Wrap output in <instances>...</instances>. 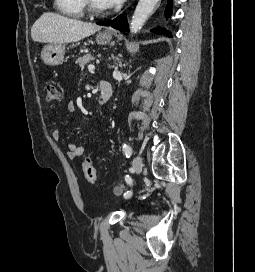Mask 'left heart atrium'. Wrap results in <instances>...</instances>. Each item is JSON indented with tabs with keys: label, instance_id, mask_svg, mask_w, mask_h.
<instances>
[{
	"label": "left heart atrium",
	"instance_id": "1",
	"mask_svg": "<svg viewBox=\"0 0 255 272\" xmlns=\"http://www.w3.org/2000/svg\"><path fill=\"white\" fill-rule=\"evenodd\" d=\"M124 0H99L103 8H112L120 5Z\"/></svg>",
	"mask_w": 255,
	"mask_h": 272
}]
</instances>
